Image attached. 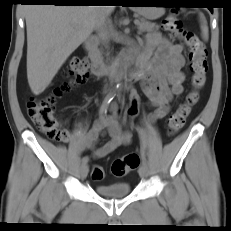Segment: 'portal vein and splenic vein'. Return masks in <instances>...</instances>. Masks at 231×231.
Wrapping results in <instances>:
<instances>
[{
    "instance_id": "portal-vein-and-splenic-vein-1",
    "label": "portal vein and splenic vein",
    "mask_w": 231,
    "mask_h": 231,
    "mask_svg": "<svg viewBox=\"0 0 231 231\" xmlns=\"http://www.w3.org/2000/svg\"><path fill=\"white\" fill-rule=\"evenodd\" d=\"M134 23H135L136 25H138V24H139V21H138V20H136Z\"/></svg>"
}]
</instances>
